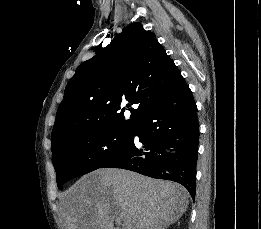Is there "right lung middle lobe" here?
Listing matches in <instances>:
<instances>
[{"mask_svg":"<svg viewBox=\"0 0 261 229\" xmlns=\"http://www.w3.org/2000/svg\"><path fill=\"white\" fill-rule=\"evenodd\" d=\"M132 131L108 127L78 130L52 150L59 189L70 179L101 168L132 143Z\"/></svg>","mask_w":261,"mask_h":229,"instance_id":"1","label":"right lung middle lobe"}]
</instances>
